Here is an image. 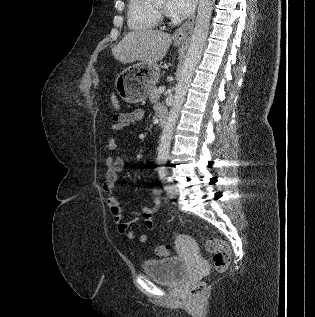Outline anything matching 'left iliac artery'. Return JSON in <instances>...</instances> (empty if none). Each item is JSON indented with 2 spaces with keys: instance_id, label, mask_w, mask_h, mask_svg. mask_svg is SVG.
<instances>
[{
  "instance_id": "left-iliac-artery-1",
  "label": "left iliac artery",
  "mask_w": 315,
  "mask_h": 317,
  "mask_svg": "<svg viewBox=\"0 0 315 317\" xmlns=\"http://www.w3.org/2000/svg\"><path fill=\"white\" fill-rule=\"evenodd\" d=\"M158 173H159V176H160V179L162 181H166V172H165V167L164 166H160L159 169H158ZM170 185H166L165 186V189L166 190H170Z\"/></svg>"
}]
</instances>
